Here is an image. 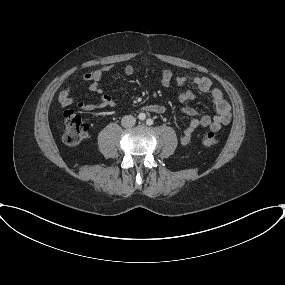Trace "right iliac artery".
Here are the masks:
<instances>
[{"label":"right iliac artery","instance_id":"1","mask_svg":"<svg viewBox=\"0 0 285 285\" xmlns=\"http://www.w3.org/2000/svg\"><path fill=\"white\" fill-rule=\"evenodd\" d=\"M138 118H139L140 120H144V119L146 118V115H145L144 113H140V114L138 115Z\"/></svg>","mask_w":285,"mask_h":285}]
</instances>
